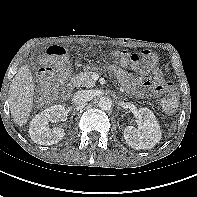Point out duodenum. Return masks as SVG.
Instances as JSON below:
<instances>
[{
	"instance_id": "obj_1",
	"label": "duodenum",
	"mask_w": 197,
	"mask_h": 197,
	"mask_svg": "<svg viewBox=\"0 0 197 197\" xmlns=\"http://www.w3.org/2000/svg\"><path fill=\"white\" fill-rule=\"evenodd\" d=\"M71 89H72V88H71V87H69V88H68V91H71Z\"/></svg>"
}]
</instances>
